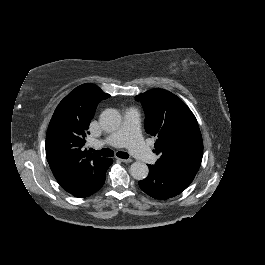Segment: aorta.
<instances>
[{
	"instance_id": "1",
	"label": "aorta",
	"mask_w": 265,
	"mask_h": 265,
	"mask_svg": "<svg viewBox=\"0 0 265 265\" xmlns=\"http://www.w3.org/2000/svg\"><path fill=\"white\" fill-rule=\"evenodd\" d=\"M100 124L108 132L118 129L121 124L119 111L112 108L105 109L100 115ZM129 172L134 179L143 180L148 176L149 169L144 162L137 161L131 164Z\"/></svg>"
}]
</instances>
